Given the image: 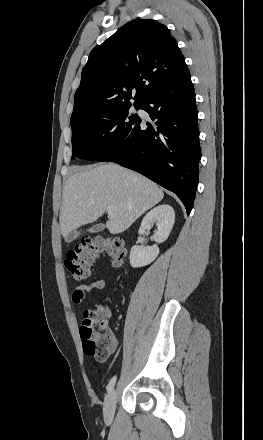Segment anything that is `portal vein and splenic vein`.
Here are the masks:
<instances>
[{"label": "portal vein and splenic vein", "mask_w": 263, "mask_h": 440, "mask_svg": "<svg viewBox=\"0 0 263 440\" xmlns=\"http://www.w3.org/2000/svg\"><path fill=\"white\" fill-rule=\"evenodd\" d=\"M106 210H107V213H108V214H111V213H113V211L115 210V207H114L113 205H108V206L106 207Z\"/></svg>", "instance_id": "18ae733b"}]
</instances>
